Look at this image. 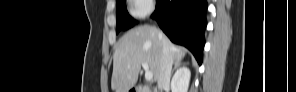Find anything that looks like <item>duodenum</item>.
<instances>
[{
  "label": "duodenum",
  "mask_w": 296,
  "mask_h": 92,
  "mask_svg": "<svg viewBox=\"0 0 296 92\" xmlns=\"http://www.w3.org/2000/svg\"><path fill=\"white\" fill-rule=\"evenodd\" d=\"M148 91L150 90L140 86L133 87L129 90V92H148Z\"/></svg>",
  "instance_id": "obj_1"
}]
</instances>
